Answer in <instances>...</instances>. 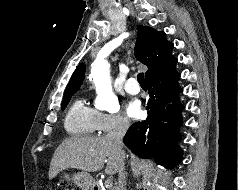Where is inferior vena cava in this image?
Masks as SVG:
<instances>
[{
  "mask_svg": "<svg viewBox=\"0 0 238 190\" xmlns=\"http://www.w3.org/2000/svg\"><path fill=\"white\" fill-rule=\"evenodd\" d=\"M129 128V121L127 118L122 117L118 120V123L113 131H110L107 137L114 143L117 149L120 151V165L118 171V185L116 190H125V167H124V151L123 147V137Z\"/></svg>",
  "mask_w": 238,
  "mask_h": 190,
  "instance_id": "602c4592",
  "label": "inferior vena cava"
}]
</instances>
